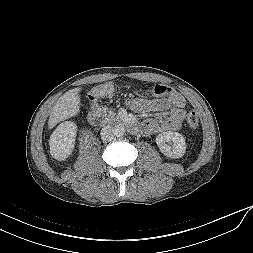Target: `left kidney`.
I'll return each mask as SVG.
<instances>
[{
  "label": "left kidney",
  "mask_w": 253,
  "mask_h": 253,
  "mask_svg": "<svg viewBox=\"0 0 253 253\" xmlns=\"http://www.w3.org/2000/svg\"><path fill=\"white\" fill-rule=\"evenodd\" d=\"M155 141L161 153L170 158H181L186 151L185 139L178 132L167 131L160 133Z\"/></svg>",
  "instance_id": "1"
}]
</instances>
